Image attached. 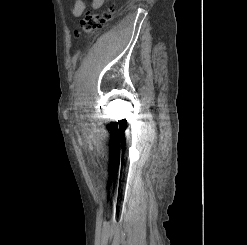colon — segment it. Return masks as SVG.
I'll return each mask as SVG.
<instances>
[{"label":"colon","instance_id":"colon-1","mask_svg":"<svg viewBox=\"0 0 247 245\" xmlns=\"http://www.w3.org/2000/svg\"><path fill=\"white\" fill-rule=\"evenodd\" d=\"M114 8L112 4L94 13H87L80 20V30L75 32L77 37L81 33L91 34L98 31L105 23L112 19Z\"/></svg>","mask_w":247,"mask_h":245}]
</instances>
